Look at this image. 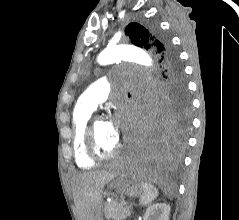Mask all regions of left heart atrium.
<instances>
[{"instance_id":"left-heart-atrium-1","label":"left heart atrium","mask_w":239,"mask_h":220,"mask_svg":"<svg viewBox=\"0 0 239 220\" xmlns=\"http://www.w3.org/2000/svg\"><path fill=\"white\" fill-rule=\"evenodd\" d=\"M129 111V106L117 111V113L109 121L112 133L119 139V129L127 130L131 126L132 118L126 116Z\"/></svg>"}]
</instances>
